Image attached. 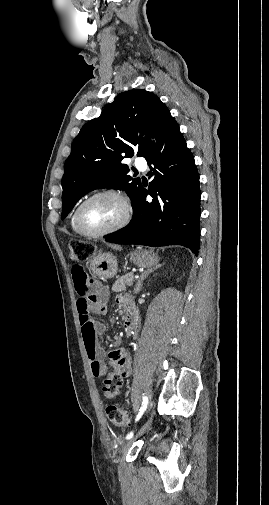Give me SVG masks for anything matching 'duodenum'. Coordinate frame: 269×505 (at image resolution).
<instances>
[{
    "mask_svg": "<svg viewBox=\"0 0 269 505\" xmlns=\"http://www.w3.org/2000/svg\"><path fill=\"white\" fill-rule=\"evenodd\" d=\"M124 311V329L127 335H131L137 324V316L134 306L131 302H125L123 304Z\"/></svg>",
    "mask_w": 269,
    "mask_h": 505,
    "instance_id": "duodenum-1",
    "label": "duodenum"
}]
</instances>
